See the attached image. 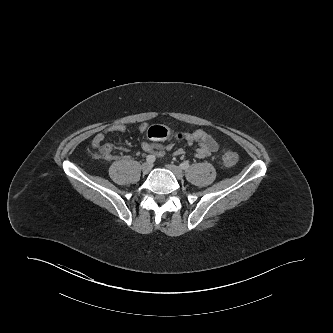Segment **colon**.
Listing matches in <instances>:
<instances>
[{
	"label": "colon",
	"instance_id": "colon-1",
	"mask_svg": "<svg viewBox=\"0 0 333 333\" xmlns=\"http://www.w3.org/2000/svg\"><path fill=\"white\" fill-rule=\"evenodd\" d=\"M146 135L149 138H152L155 140H164L171 135H175L177 138L181 137L179 134L172 133L171 130H169L167 127L162 126V125H153V126L149 127L146 130ZM221 159H222V162L226 166H233L237 163L238 155L236 152H234L232 150H226L222 153Z\"/></svg>",
	"mask_w": 333,
	"mask_h": 333
}]
</instances>
